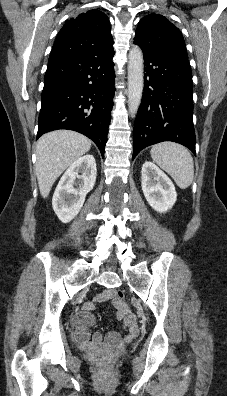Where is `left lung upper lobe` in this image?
<instances>
[{"label":"left lung upper lobe","mask_w":227,"mask_h":396,"mask_svg":"<svg viewBox=\"0 0 227 396\" xmlns=\"http://www.w3.org/2000/svg\"><path fill=\"white\" fill-rule=\"evenodd\" d=\"M134 42L142 48L166 50L188 58L180 30L159 14L152 13L140 20Z\"/></svg>","instance_id":"obj_1"}]
</instances>
